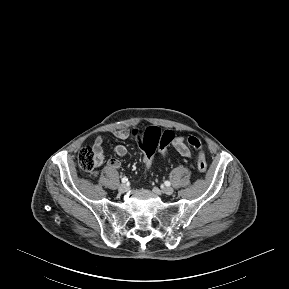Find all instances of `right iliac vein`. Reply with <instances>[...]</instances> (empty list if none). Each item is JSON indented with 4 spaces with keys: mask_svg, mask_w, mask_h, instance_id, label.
Returning a JSON list of instances; mask_svg holds the SVG:
<instances>
[{
    "mask_svg": "<svg viewBox=\"0 0 289 289\" xmlns=\"http://www.w3.org/2000/svg\"><path fill=\"white\" fill-rule=\"evenodd\" d=\"M127 190H128V186L126 184H121L118 188V191L120 193H125V192H127Z\"/></svg>",
    "mask_w": 289,
    "mask_h": 289,
    "instance_id": "right-iliac-vein-1",
    "label": "right iliac vein"
}]
</instances>
